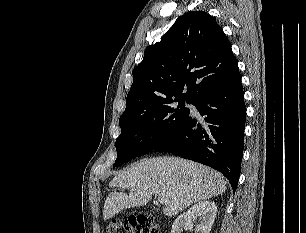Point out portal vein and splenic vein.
Listing matches in <instances>:
<instances>
[{
	"label": "portal vein and splenic vein",
	"mask_w": 306,
	"mask_h": 233,
	"mask_svg": "<svg viewBox=\"0 0 306 233\" xmlns=\"http://www.w3.org/2000/svg\"><path fill=\"white\" fill-rule=\"evenodd\" d=\"M159 202L162 203V204H167L168 203V199L165 198V197H160L159 198Z\"/></svg>",
	"instance_id": "portal-vein-and-splenic-vein-1"
}]
</instances>
